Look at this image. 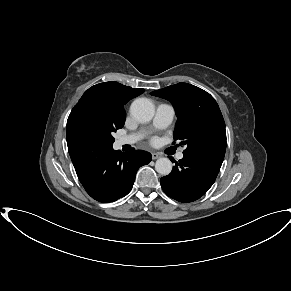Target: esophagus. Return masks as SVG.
Returning <instances> with one entry per match:
<instances>
[{
    "instance_id": "1",
    "label": "esophagus",
    "mask_w": 291,
    "mask_h": 291,
    "mask_svg": "<svg viewBox=\"0 0 291 291\" xmlns=\"http://www.w3.org/2000/svg\"><path fill=\"white\" fill-rule=\"evenodd\" d=\"M162 155L160 154V153H155V152H153L152 153V159H158V158H160Z\"/></svg>"
}]
</instances>
